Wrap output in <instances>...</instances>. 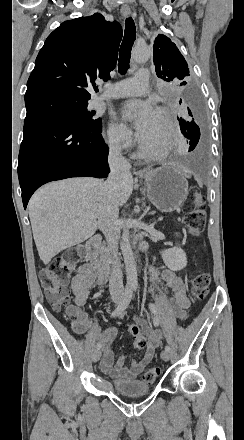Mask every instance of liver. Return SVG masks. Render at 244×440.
Here are the masks:
<instances>
[{"label": "liver", "instance_id": "1", "mask_svg": "<svg viewBox=\"0 0 244 440\" xmlns=\"http://www.w3.org/2000/svg\"><path fill=\"white\" fill-rule=\"evenodd\" d=\"M133 184L131 174L121 180L116 190L118 206L129 200ZM103 186V180L95 178H69L45 184L33 194L28 204L29 218L43 264H49L62 250L94 236L103 206Z\"/></svg>", "mask_w": 244, "mask_h": 440}]
</instances>
